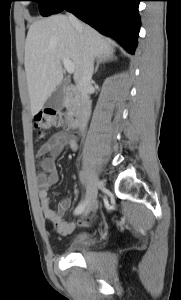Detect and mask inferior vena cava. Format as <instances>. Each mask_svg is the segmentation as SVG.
I'll return each instance as SVG.
<instances>
[{
    "label": "inferior vena cava",
    "instance_id": "1",
    "mask_svg": "<svg viewBox=\"0 0 181 300\" xmlns=\"http://www.w3.org/2000/svg\"><path fill=\"white\" fill-rule=\"evenodd\" d=\"M69 21L76 28L80 27V23L77 18L69 14ZM80 39L82 40V34L79 33ZM94 72V59L88 53V51L84 50L82 54V67L79 73V76L76 80L77 90L80 93V108H79V128L83 131L88 123V120L91 115V100L89 96V91L91 89V79Z\"/></svg>",
    "mask_w": 181,
    "mask_h": 300
}]
</instances>
